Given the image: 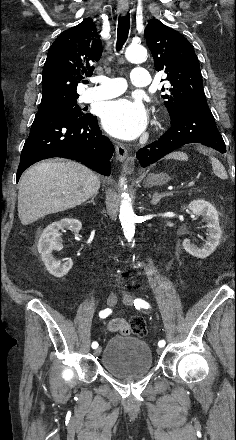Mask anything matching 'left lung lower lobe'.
<instances>
[{
	"label": "left lung lower lobe",
	"instance_id": "obj_1",
	"mask_svg": "<svg viewBox=\"0 0 236 440\" xmlns=\"http://www.w3.org/2000/svg\"><path fill=\"white\" fill-rule=\"evenodd\" d=\"M171 125L159 140L137 152L136 157L142 167L155 163L188 143H202L221 153L226 152L225 143L216 127L207 101L188 104L180 115L171 121Z\"/></svg>",
	"mask_w": 236,
	"mask_h": 440
}]
</instances>
